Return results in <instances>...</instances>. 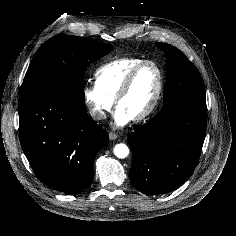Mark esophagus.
I'll list each match as a JSON object with an SVG mask.
<instances>
[{
	"label": "esophagus",
	"mask_w": 236,
	"mask_h": 236,
	"mask_svg": "<svg viewBox=\"0 0 236 236\" xmlns=\"http://www.w3.org/2000/svg\"><path fill=\"white\" fill-rule=\"evenodd\" d=\"M117 138V134L113 133V132H110L109 133V139L110 140H115Z\"/></svg>",
	"instance_id": "esophagus-1"
}]
</instances>
